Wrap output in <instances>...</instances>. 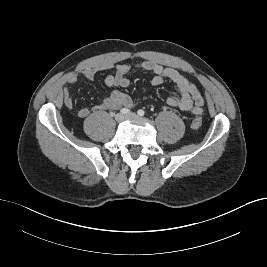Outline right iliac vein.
Segmentation results:
<instances>
[{"instance_id":"63e3f726","label":"right iliac vein","mask_w":267,"mask_h":267,"mask_svg":"<svg viewBox=\"0 0 267 267\" xmlns=\"http://www.w3.org/2000/svg\"><path fill=\"white\" fill-rule=\"evenodd\" d=\"M126 118V116L122 113H118L116 116H115V120L118 122V123H121L124 119Z\"/></svg>"}]
</instances>
